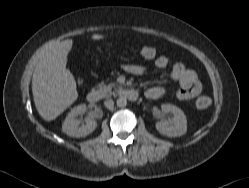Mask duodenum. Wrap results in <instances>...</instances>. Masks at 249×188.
Wrapping results in <instances>:
<instances>
[{"label": "duodenum", "mask_w": 249, "mask_h": 188, "mask_svg": "<svg viewBox=\"0 0 249 188\" xmlns=\"http://www.w3.org/2000/svg\"><path fill=\"white\" fill-rule=\"evenodd\" d=\"M122 96H124L128 100H135L138 96V93L134 89H126L122 92ZM99 98L100 95L97 90H92L87 94V100L91 104L98 102Z\"/></svg>", "instance_id": "obj_1"}]
</instances>
